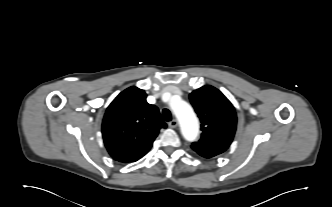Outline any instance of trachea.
Returning <instances> with one entry per match:
<instances>
[{
  "instance_id": "obj_1",
  "label": "trachea",
  "mask_w": 332,
  "mask_h": 207,
  "mask_svg": "<svg viewBox=\"0 0 332 207\" xmlns=\"http://www.w3.org/2000/svg\"><path fill=\"white\" fill-rule=\"evenodd\" d=\"M162 114L165 121H171L172 116L171 112L168 109H163Z\"/></svg>"
}]
</instances>
